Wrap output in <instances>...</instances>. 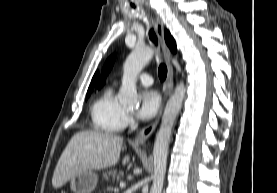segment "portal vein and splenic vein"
<instances>
[{"label":"portal vein and splenic vein","instance_id":"portal-vein-and-splenic-vein-1","mask_svg":"<svg viewBox=\"0 0 277 193\" xmlns=\"http://www.w3.org/2000/svg\"><path fill=\"white\" fill-rule=\"evenodd\" d=\"M125 183L124 182H120V187H124Z\"/></svg>","mask_w":277,"mask_h":193}]
</instances>
